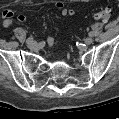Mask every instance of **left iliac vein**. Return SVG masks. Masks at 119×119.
<instances>
[{"label":"left iliac vein","instance_id":"1","mask_svg":"<svg viewBox=\"0 0 119 119\" xmlns=\"http://www.w3.org/2000/svg\"><path fill=\"white\" fill-rule=\"evenodd\" d=\"M84 43L87 44V45H90L93 43V39L91 37H87L85 40H84Z\"/></svg>","mask_w":119,"mask_h":119}]
</instances>
